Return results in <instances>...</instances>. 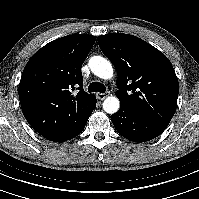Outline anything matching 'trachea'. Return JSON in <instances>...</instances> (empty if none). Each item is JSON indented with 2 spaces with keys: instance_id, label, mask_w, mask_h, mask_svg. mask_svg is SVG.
<instances>
[{
  "instance_id": "trachea-1",
  "label": "trachea",
  "mask_w": 199,
  "mask_h": 199,
  "mask_svg": "<svg viewBox=\"0 0 199 199\" xmlns=\"http://www.w3.org/2000/svg\"><path fill=\"white\" fill-rule=\"evenodd\" d=\"M88 91L89 92H100V93H105L106 87L100 83V82H92L88 86Z\"/></svg>"
}]
</instances>
